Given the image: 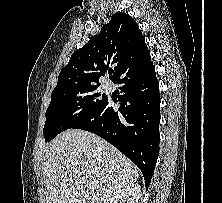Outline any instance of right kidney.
Returning <instances> with one entry per match:
<instances>
[{
    "mask_svg": "<svg viewBox=\"0 0 222 203\" xmlns=\"http://www.w3.org/2000/svg\"><path fill=\"white\" fill-rule=\"evenodd\" d=\"M141 188L138 184H128L119 189L113 197L105 203H138Z\"/></svg>",
    "mask_w": 222,
    "mask_h": 203,
    "instance_id": "right-kidney-1",
    "label": "right kidney"
}]
</instances>
